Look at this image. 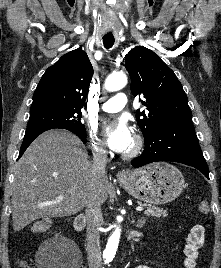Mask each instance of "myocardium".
I'll list each match as a JSON object with an SVG mask.
<instances>
[{
    "label": "myocardium",
    "mask_w": 221,
    "mask_h": 268,
    "mask_svg": "<svg viewBox=\"0 0 221 268\" xmlns=\"http://www.w3.org/2000/svg\"><path fill=\"white\" fill-rule=\"evenodd\" d=\"M143 147H144V139H143V137L141 135H139V134H136L134 136V146H133V148L130 151L125 152L122 156L125 159L135 158L142 152Z\"/></svg>",
    "instance_id": "1"
}]
</instances>
